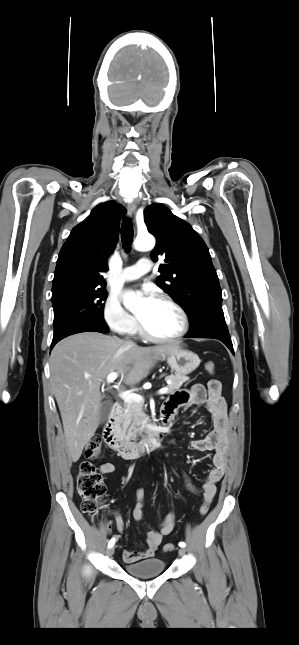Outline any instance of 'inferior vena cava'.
<instances>
[{
    "instance_id": "602c4592",
    "label": "inferior vena cava",
    "mask_w": 299,
    "mask_h": 645,
    "mask_svg": "<svg viewBox=\"0 0 299 645\" xmlns=\"http://www.w3.org/2000/svg\"><path fill=\"white\" fill-rule=\"evenodd\" d=\"M127 344L130 345V346L134 345V343L131 342V341H128Z\"/></svg>"
}]
</instances>
